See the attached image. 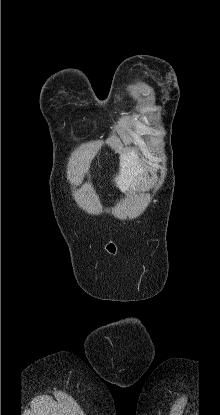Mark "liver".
Instances as JSON below:
<instances>
[{
	"instance_id": "obj_1",
	"label": "liver",
	"mask_w": 220,
	"mask_h": 415,
	"mask_svg": "<svg viewBox=\"0 0 220 415\" xmlns=\"http://www.w3.org/2000/svg\"><path fill=\"white\" fill-rule=\"evenodd\" d=\"M140 170L139 157L134 150L121 154L119 174L115 178L117 187L121 191L127 190L135 183Z\"/></svg>"
}]
</instances>
